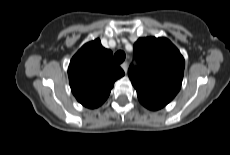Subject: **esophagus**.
<instances>
[{
    "label": "esophagus",
    "instance_id": "1",
    "mask_svg": "<svg viewBox=\"0 0 230 155\" xmlns=\"http://www.w3.org/2000/svg\"><path fill=\"white\" fill-rule=\"evenodd\" d=\"M121 67H122V69L124 70V72L126 73V72H127V68H128L127 62H123V63L121 64Z\"/></svg>",
    "mask_w": 230,
    "mask_h": 155
}]
</instances>
